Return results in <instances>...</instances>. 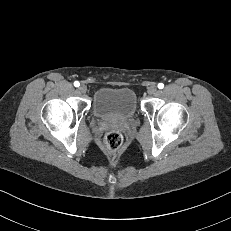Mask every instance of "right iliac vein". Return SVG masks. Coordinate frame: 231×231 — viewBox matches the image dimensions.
I'll use <instances>...</instances> for the list:
<instances>
[{
    "label": "right iliac vein",
    "mask_w": 231,
    "mask_h": 231,
    "mask_svg": "<svg viewBox=\"0 0 231 231\" xmlns=\"http://www.w3.org/2000/svg\"><path fill=\"white\" fill-rule=\"evenodd\" d=\"M79 91L81 92V93H85L86 91H87V87L85 86V85H80V87H79Z\"/></svg>",
    "instance_id": "1"
}]
</instances>
